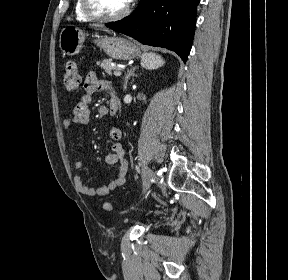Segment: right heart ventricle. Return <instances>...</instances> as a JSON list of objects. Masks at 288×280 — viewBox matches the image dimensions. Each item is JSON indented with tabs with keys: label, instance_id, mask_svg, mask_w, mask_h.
<instances>
[{
	"label": "right heart ventricle",
	"instance_id": "right-heart-ventricle-1",
	"mask_svg": "<svg viewBox=\"0 0 288 280\" xmlns=\"http://www.w3.org/2000/svg\"><path fill=\"white\" fill-rule=\"evenodd\" d=\"M74 13H75V17L78 21H82V22H90L93 19H91L90 17H88L82 8V3L81 0H76L75 1V5H74Z\"/></svg>",
	"mask_w": 288,
	"mask_h": 280
}]
</instances>
